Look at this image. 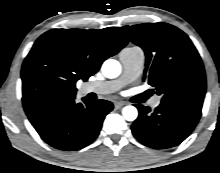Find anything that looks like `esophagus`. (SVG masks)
<instances>
[{"label":"esophagus","mask_w":220,"mask_h":173,"mask_svg":"<svg viewBox=\"0 0 220 173\" xmlns=\"http://www.w3.org/2000/svg\"><path fill=\"white\" fill-rule=\"evenodd\" d=\"M126 103L123 101H115L114 106L116 109H120L122 106H124Z\"/></svg>","instance_id":"esophagus-1"}]
</instances>
